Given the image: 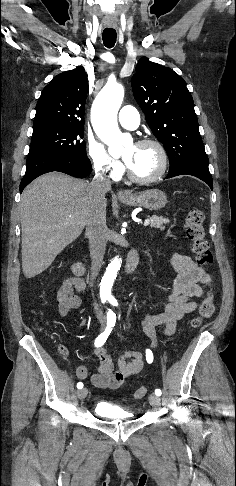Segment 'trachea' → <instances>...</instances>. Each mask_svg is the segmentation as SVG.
<instances>
[{
  "instance_id": "1",
  "label": "trachea",
  "mask_w": 236,
  "mask_h": 486,
  "mask_svg": "<svg viewBox=\"0 0 236 486\" xmlns=\"http://www.w3.org/2000/svg\"><path fill=\"white\" fill-rule=\"evenodd\" d=\"M117 34L115 29L105 28L103 31V43L107 48H112L116 43Z\"/></svg>"
}]
</instances>
